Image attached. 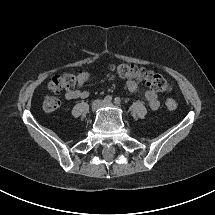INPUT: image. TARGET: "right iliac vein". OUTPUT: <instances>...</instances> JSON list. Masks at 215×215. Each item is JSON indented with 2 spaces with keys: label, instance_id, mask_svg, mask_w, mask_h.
<instances>
[{
  "label": "right iliac vein",
  "instance_id": "right-iliac-vein-1",
  "mask_svg": "<svg viewBox=\"0 0 215 215\" xmlns=\"http://www.w3.org/2000/svg\"><path fill=\"white\" fill-rule=\"evenodd\" d=\"M102 106V101L101 100H95L92 103V111L95 112L96 110H98L100 107Z\"/></svg>",
  "mask_w": 215,
  "mask_h": 215
}]
</instances>
